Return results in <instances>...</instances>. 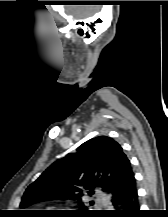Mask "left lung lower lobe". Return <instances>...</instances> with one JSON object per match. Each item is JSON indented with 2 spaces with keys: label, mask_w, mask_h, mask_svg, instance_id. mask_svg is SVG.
Returning a JSON list of instances; mask_svg holds the SVG:
<instances>
[{
  "label": "left lung lower lobe",
  "mask_w": 168,
  "mask_h": 217,
  "mask_svg": "<svg viewBox=\"0 0 168 217\" xmlns=\"http://www.w3.org/2000/svg\"><path fill=\"white\" fill-rule=\"evenodd\" d=\"M113 211L103 212L107 216L113 217H138L139 203L134 174L117 191L111 194Z\"/></svg>",
  "instance_id": "obj_1"
}]
</instances>
